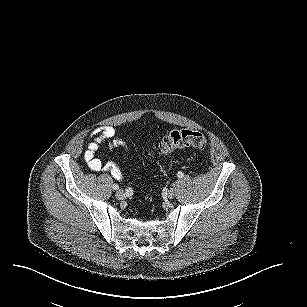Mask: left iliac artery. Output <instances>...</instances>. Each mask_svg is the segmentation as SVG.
<instances>
[{"instance_id":"44dca946","label":"left iliac artery","mask_w":307,"mask_h":307,"mask_svg":"<svg viewBox=\"0 0 307 307\" xmlns=\"http://www.w3.org/2000/svg\"><path fill=\"white\" fill-rule=\"evenodd\" d=\"M177 176H178L179 178H182V177L184 176V174H183V172L179 171V172L177 173Z\"/></svg>"}]
</instances>
